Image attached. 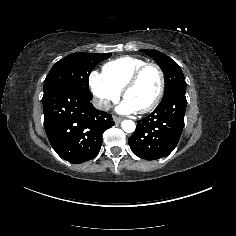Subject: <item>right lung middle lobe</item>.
Returning a JSON list of instances; mask_svg holds the SVG:
<instances>
[{"instance_id": "dd1d6c3e", "label": "right lung middle lobe", "mask_w": 236, "mask_h": 236, "mask_svg": "<svg viewBox=\"0 0 236 236\" xmlns=\"http://www.w3.org/2000/svg\"><path fill=\"white\" fill-rule=\"evenodd\" d=\"M111 54L73 53L56 62L44 81V94L57 87H69L91 96L89 75L95 66Z\"/></svg>"}]
</instances>
